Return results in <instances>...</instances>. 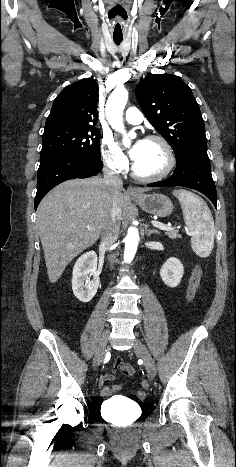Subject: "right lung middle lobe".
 <instances>
[{"label": "right lung middle lobe", "instance_id": "1", "mask_svg": "<svg viewBox=\"0 0 236 467\" xmlns=\"http://www.w3.org/2000/svg\"><path fill=\"white\" fill-rule=\"evenodd\" d=\"M99 133L93 126L58 125L45 128L40 158L69 152L101 160Z\"/></svg>", "mask_w": 236, "mask_h": 467}]
</instances>
